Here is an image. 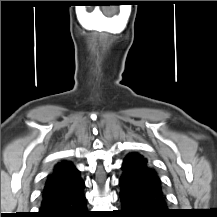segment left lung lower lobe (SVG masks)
I'll return each mask as SVG.
<instances>
[{"instance_id":"obj_1","label":"left lung lower lobe","mask_w":217,"mask_h":217,"mask_svg":"<svg viewBox=\"0 0 217 217\" xmlns=\"http://www.w3.org/2000/svg\"><path fill=\"white\" fill-rule=\"evenodd\" d=\"M123 175L119 179L122 214L125 217H170L166 196L162 187L136 180L131 167L122 164Z\"/></svg>"}]
</instances>
